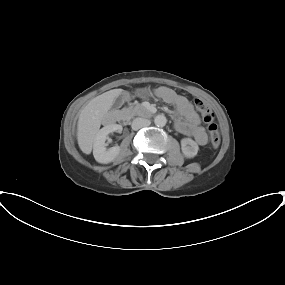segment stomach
Returning <instances> with one entry per match:
<instances>
[{
    "label": "stomach",
    "instance_id": "0dacf381",
    "mask_svg": "<svg viewBox=\"0 0 285 285\" xmlns=\"http://www.w3.org/2000/svg\"><path fill=\"white\" fill-rule=\"evenodd\" d=\"M138 95H139L140 97H145V96L147 95V91L141 90V91L138 92Z\"/></svg>",
    "mask_w": 285,
    "mask_h": 285
}]
</instances>
